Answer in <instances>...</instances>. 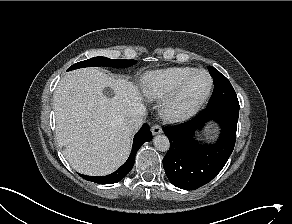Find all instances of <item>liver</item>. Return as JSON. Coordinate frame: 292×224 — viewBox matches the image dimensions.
Here are the masks:
<instances>
[{
	"instance_id": "1",
	"label": "liver",
	"mask_w": 292,
	"mask_h": 224,
	"mask_svg": "<svg viewBox=\"0 0 292 224\" xmlns=\"http://www.w3.org/2000/svg\"><path fill=\"white\" fill-rule=\"evenodd\" d=\"M111 88L113 97L104 95ZM142 96L124 77L97 68L67 73L54 92L56 136L63 155L76 171L91 176L114 172L128 158L136 129L128 114Z\"/></svg>"
}]
</instances>
